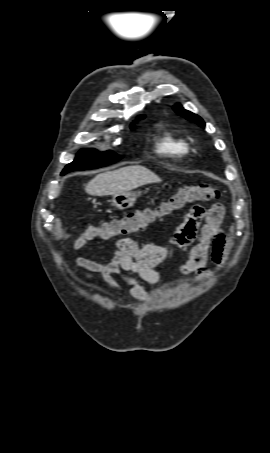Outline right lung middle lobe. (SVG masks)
Instances as JSON below:
<instances>
[{
    "label": "right lung middle lobe",
    "mask_w": 270,
    "mask_h": 453,
    "mask_svg": "<svg viewBox=\"0 0 270 453\" xmlns=\"http://www.w3.org/2000/svg\"><path fill=\"white\" fill-rule=\"evenodd\" d=\"M133 127L134 126H131V128ZM121 158L122 156L117 155L112 151L100 153L93 149H82L75 160L64 168L62 175L74 170H85L106 166Z\"/></svg>",
    "instance_id": "dd1d6c3e"
}]
</instances>
